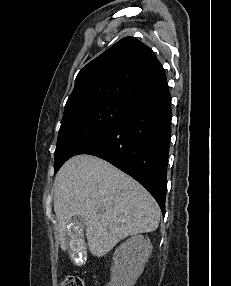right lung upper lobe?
I'll return each mask as SVG.
<instances>
[{
  "mask_svg": "<svg viewBox=\"0 0 231 286\" xmlns=\"http://www.w3.org/2000/svg\"><path fill=\"white\" fill-rule=\"evenodd\" d=\"M164 81L165 72L153 51L134 37H125L81 69L63 116L102 101L129 104Z\"/></svg>",
  "mask_w": 231,
  "mask_h": 286,
  "instance_id": "right-lung-upper-lobe-1",
  "label": "right lung upper lobe"
}]
</instances>
